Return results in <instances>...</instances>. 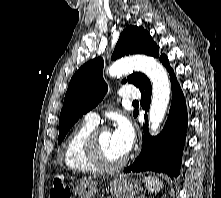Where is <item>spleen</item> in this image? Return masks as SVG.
I'll use <instances>...</instances> for the list:
<instances>
[{
    "mask_svg": "<svg viewBox=\"0 0 221 198\" xmlns=\"http://www.w3.org/2000/svg\"><path fill=\"white\" fill-rule=\"evenodd\" d=\"M143 182L145 183L148 190L151 192H158L163 186L162 182L159 181L156 177H144Z\"/></svg>",
    "mask_w": 221,
    "mask_h": 198,
    "instance_id": "3e777b00",
    "label": "spleen"
}]
</instances>
